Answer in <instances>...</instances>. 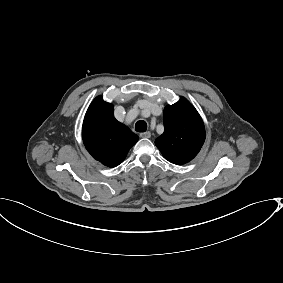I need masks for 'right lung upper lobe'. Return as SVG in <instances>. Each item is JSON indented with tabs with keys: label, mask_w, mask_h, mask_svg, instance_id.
<instances>
[{
	"label": "right lung upper lobe",
	"mask_w": 283,
	"mask_h": 283,
	"mask_svg": "<svg viewBox=\"0 0 283 283\" xmlns=\"http://www.w3.org/2000/svg\"><path fill=\"white\" fill-rule=\"evenodd\" d=\"M82 136L86 149L94 159L108 167L118 166L125 159L138 136L113 115V106L98 96L84 118Z\"/></svg>",
	"instance_id": "obj_1"
}]
</instances>
